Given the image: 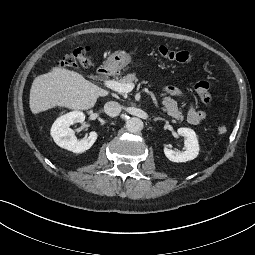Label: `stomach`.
Segmentation results:
<instances>
[{"instance_id": "obj_1", "label": "stomach", "mask_w": 255, "mask_h": 255, "mask_svg": "<svg viewBox=\"0 0 255 255\" xmlns=\"http://www.w3.org/2000/svg\"><path fill=\"white\" fill-rule=\"evenodd\" d=\"M132 61V57L125 51H115L106 60L105 66L112 72H118Z\"/></svg>"}]
</instances>
